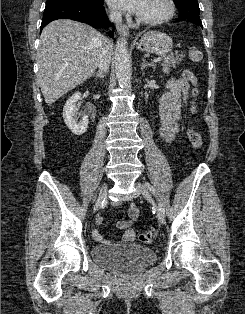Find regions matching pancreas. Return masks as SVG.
<instances>
[{
    "label": "pancreas",
    "instance_id": "pancreas-1",
    "mask_svg": "<svg viewBox=\"0 0 245 314\" xmlns=\"http://www.w3.org/2000/svg\"><path fill=\"white\" fill-rule=\"evenodd\" d=\"M183 57L184 56L182 54H178V52L165 57L161 63L164 73H169L172 68H176V66L182 61Z\"/></svg>",
    "mask_w": 245,
    "mask_h": 314
}]
</instances>
